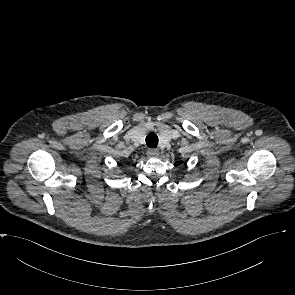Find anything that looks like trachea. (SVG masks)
<instances>
[{"instance_id": "3493384b", "label": "trachea", "mask_w": 295, "mask_h": 295, "mask_svg": "<svg viewBox=\"0 0 295 295\" xmlns=\"http://www.w3.org/2000/svg\"><path fill=\"white\" fill-rule=\"evenodd\" d=\"M146 144L150 148H155L158 145V136L154 132H150L146 136Z\"/></svg>"}]
</instances>
